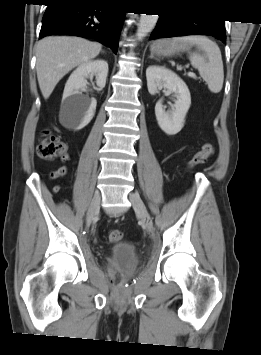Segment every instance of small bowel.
<instances>
[{"mask_svg": "<svg viewBox=\"0 0 261 355\" xmlns=\"http://www.w3.org/2000/svg\"><path fill=\"white\" fill-rule=\"evenodd\" d=\"M68 158H69V155H67V154L65 156H63V160H67ZM67 171H68L67 166L66 165H62L59 168H57L56 170L52 171L49 174V178L52 179V180L60 178V177H62L64 175H66Z\"/></svg>", "mask_w": 261, "mask_h": 355, "instance_id": "obj_1", "label": "small bowel"}]
</instances>
